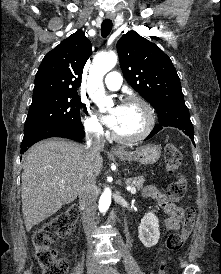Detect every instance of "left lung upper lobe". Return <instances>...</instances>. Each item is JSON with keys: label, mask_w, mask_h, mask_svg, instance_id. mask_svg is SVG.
<instances>
[{"label": "left lung upper lobe", "mask_w": 221, "mask_h": 274, "mask_svg": "<svg viewBox=\"0 0 221 274\" xmlns=\"http://www.w3.org/2000/svg\"><path fill=\"white\" fill-rule=\"evenodd\" d=\"M117 51L125 79L159 116L185 105L176 69L157 45L129 31L117 42Z\"/></svg>", "instance_id": "5c2ea615"}]
</instances>
